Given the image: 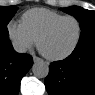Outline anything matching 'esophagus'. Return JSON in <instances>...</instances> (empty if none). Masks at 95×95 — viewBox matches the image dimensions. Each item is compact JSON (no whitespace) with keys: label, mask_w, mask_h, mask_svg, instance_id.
Instances as JSON below:
<instances>
[{"label":"esophagus","mask_w":95,"mask_h":95,"mask_svg":"<svg viewBox=\"0 0 95 95\" xmlns=\"http://www.w3.org/2000/svg\"><path fill=\"white\" fill-rule=\"evenodd\" d=\"M33 61L36 63V62L41 61V59L37 56H33Z\"/></svg>","instance_id":"34e87169"}]
</instances>
